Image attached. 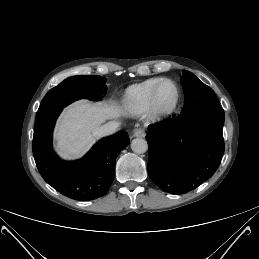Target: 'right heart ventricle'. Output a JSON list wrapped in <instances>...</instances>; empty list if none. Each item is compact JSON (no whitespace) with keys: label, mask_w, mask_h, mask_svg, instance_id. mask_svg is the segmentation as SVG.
Listing matches in <instances>:
<instances>
[{"label":"right heart ventricle","mask_w":259,"mask_h":259,"mask_svg":"<svg viewBox=\"0 0 259 259\" xmlns=\"http://www.w3.org/2000/svg\"><path fill=\"white\" fill-rule=\"evenodd\" d=\"M162 78H150L128 87L123 96L124 107L135 114L146 111L150 104L151 94Z\"/></svg>","instance_id":"right-heart-ventricle-1"}]
</instances>
